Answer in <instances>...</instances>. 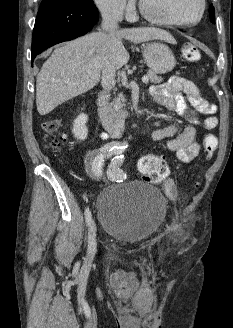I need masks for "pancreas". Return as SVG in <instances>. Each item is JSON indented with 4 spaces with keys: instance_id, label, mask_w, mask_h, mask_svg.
Listing matches in <instances>:
<instances>
[{
    "instance_id": "obj_1",
    "label": "pancreas",
    "mask_w": 233,
    "mask_h": 328,
    "mask_svg": "<svg viewBox=\"0 0 233 328\" xmlns=\"http://www.w3.org/2000/svg\"><path fill=\"white\" fill-rule=\"evenodd\" d=\"M146 76L148 77L151 83L157 84L163 81L161 76H158L154 71L148 70ZM126 99L122 93H120L116 98L113 99L111 103H109L107 109L111 113L113 117H118L123 108L126 106Z\"/></svg>"
}]
</instances>
